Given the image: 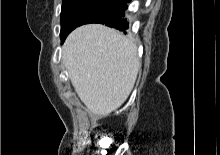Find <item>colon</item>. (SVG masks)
<instances>
[{
  "mask_svg": "<svg viewBox=\"0 0 220 155\" xmlns=\"http://www.w3.org/2000/svg\"><path fill=\"white\" fill-rule=\"evenodd\" d=\"M96 147H97V148H106V147H107V144H106V143H97V144H96Z\"/></svg>",
  "mask_w": 220,
  "mask_h": 155,
  "instance_id": "obj_1",
  "label": "colon"
}]
</instances>
